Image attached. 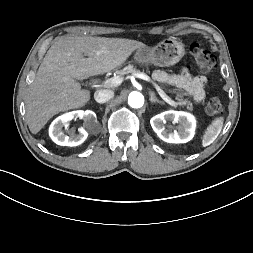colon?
<instances>
[{
  "mask_svg": "<svg viewBox=\"0 0 253 253\" xmlns=\"http://www.w3.org/2000/svg\"><path fill=\"white\" fill-rule=\"evenodd\" d=\"M190 52L197 66L205 73L213 72L218 66V60L214 54L210 52L201 43H192ZM206 110L210 115H217L223 111V104L217 97H211L207 104Z\"/></svg>",
  "mask_w": 253,
  "mask_h": 253,
  "instance_id": "1",
  "label": "colon"
}]
</instances>
